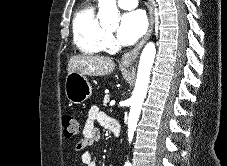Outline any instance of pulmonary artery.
Listing matches in <instances>:
<instances>
[{"instance_id":"pulmonary-artery-1","label":"pulmonary artery","mask_w":227,"mask_h":166,"mask_svg":"<svg viewBox=\"0 0 227 166\" xmlns=\"http://www.w3.org/2000/svg\"><path fill=\"white\" fill-rule=\"evenodd\" d=\"M118 6L122 9L131 10L138 6V0H117Z\"/></svg>"}]
</instances>
